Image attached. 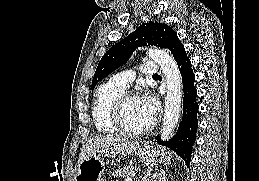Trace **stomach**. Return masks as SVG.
Listing matches in <instances>:
<instances>
[{"mask_svg":"<svg viewBox=\"0 0 259 181\" xmlns=\"http://www.w3.org/2000/svg\"><path fill=\"white\" fill-rule=\"evenodd\" d=\"M138 158L146 165L155 162H168L171 154L168 151L157 150L153 146L144 145L138 150ZM105 162L100 155L92 154L84 158L77 167L74 181H104Z\"/></svg>","mask_w":259,"mask_h":181,"instance_id":"obj_1","label":"stomach"}]
</instances>
